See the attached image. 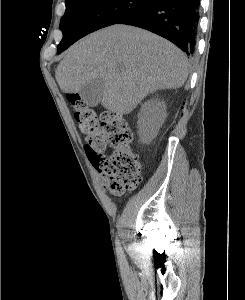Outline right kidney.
Instances as JSON below:
<instances>
[{
    "label": "right kidney",
    "instance_id": "obj_1",
    "mask_svg": "<svg viewBox=\"0 0 245 300\" xmlns=\"http://www.w3.org/2000/svg\"><path fill=\"white\" fill-rule=\"evenodd\" d=\"M167 116L164 101L152 99L145 102L138 114V134L140 139L149 143L158 134L159 128L164 123Z\"/></svg>",
    "mask_w": 245,
    "mask_h": 300
}]
</instances>
